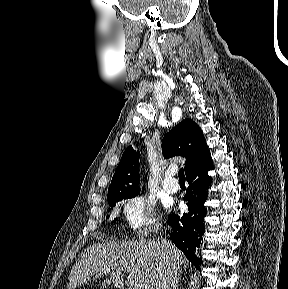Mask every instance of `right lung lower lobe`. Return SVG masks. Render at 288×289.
I'll return each instance as SVG.
<instances>
[{
	"mask_svg": "<svg viewBox=\"0 0 288 289\" xmlns=\"http://www.w3.org/2000/svg\"><path fill=\"white\" fill-rule=\"evenodd\" d=\"M212 169L213 163L209 155L186 174L189 187L184 201L188 205L189 212L182 216L170 215L168 220L173 230L170 233L172 242L196 266L201 264V260L195 256L194 250L200 246L201 235L204 234L203 221L206 215L204 202L207 199L206 190L211 183L207 172Z\"/></svg>",
	"mask_w": 288,
	"mask_h": 289,
	"instance_id": "98d812e1",
	"label": "right lung lower lobe"
}]
</instances>
